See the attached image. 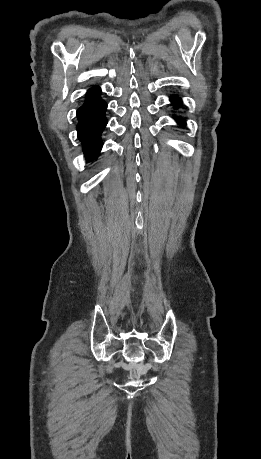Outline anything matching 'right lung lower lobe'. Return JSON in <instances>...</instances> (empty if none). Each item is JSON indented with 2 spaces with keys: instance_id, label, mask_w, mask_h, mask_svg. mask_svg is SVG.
<instances>
[{
  "instance_id": "obj_1",
  "label": "right lung lower lobe",
  "mask_w": 261,
  "mask_h": 459,
  "mask_svg": "<svg viewBox=\"0 0 261 459\" xmlns=\"http://www.w3.org/2000/svg\"><path fill=\"white\" fill-rule=\"evenodd\" d=\"M100 93L99 87L89 89L84 104L77 111L78 138L83 143V151L88 161L95 159L100 152L103 144L100 135L107 124V104L99 97Z\"/></svg>"
}]
</instances>
